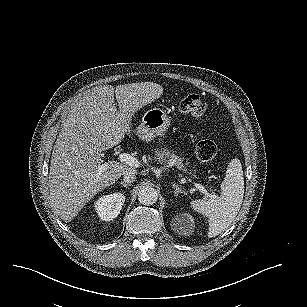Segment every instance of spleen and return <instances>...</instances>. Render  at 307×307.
Returning <instances> with one entry per match:
<instances>
[{"instance_id": "obj_1", "label": "spleen", "mask_w": 307, "mask_h": 307, "mask_svg": "<svg viewBox=\"0 0 307 307\" xmlns=\"http://www.w3.org/2000/svg\"><path fill=\"white\" fill-rule=\"evenodd\" d=\"M222 193L210 200H194L192 207L210 217L208 236L215 237L225 231L236 218L244 197V176L238 158L231 159L221 184Z\"/></svg>"}]
</instances>
